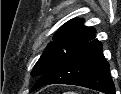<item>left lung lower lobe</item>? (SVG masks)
Instances as JSON below:
<instances>
[{
  "label": "left lung lower lobe",
  "mask_w": 121,
  "mask_h": 94,
  "mask_svg": "<svg viewBox=\"0 0 121 94\" xmlns=\"http://www.w3.org/2000/svg\"><path fill=\"white\" fill-rule=\"evenodd\" d=\"M50 84L78 85L106 94H115L101 42L93 39L62 58L41 75L32 90Z\"/></svg>",
  "instance_id": "obj_1"
}]
</instances>
